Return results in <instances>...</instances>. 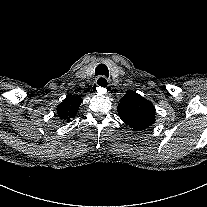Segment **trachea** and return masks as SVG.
<instances>
[{"instance_id":"trachea-1","label":"trachea","mask_w":207,"mask_h":207,"mask_svg":"<svg viewBox=\"0 0 207 207\" xmlns=\"http://www.w3.org/2000/svg\"><path fill=\"white\" fill-rule=\"evenodd\" d=\"M95 75H105L109 76V70L106 65L104 64H99L96 69H95ZM98 85L101 87H106L107 83H101L99 80L97 81Z\"/></svg>"}]
</instances>
